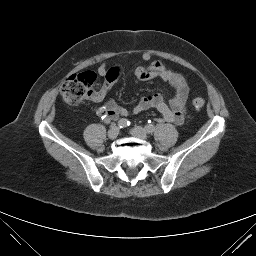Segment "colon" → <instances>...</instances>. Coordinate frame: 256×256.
Here are the masks:
<instances>
[{"mask_svg": "<svg viewBox=\"0 0 256 256\" xmlns=\"http://www.w3.org/2000/svg\"><path fill=\"white\" fill-rule=\"evenodd\" d=\"M95 81L96 74L91 71L71 75L60 88L63 101L71 106L79 104L83 99L91 96ZM204 105L205 100L202 97L198 96L193 99L195 109H201ZM99 113L104 114L102 109Z\"/></svg>", "mask_w": 256, "mask_h": 256, "instance_id": "colon-1", "label": "colon"}]
</instances>
